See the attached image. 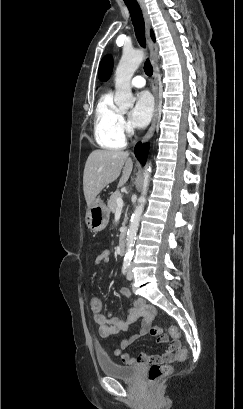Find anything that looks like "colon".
<instances>
[{
  "label": "colon",
  "instance_id": "1",
  "mask_svg": "<svg viewBox=\"0 0 243 409\" xmlns=\"http://www.w3.org/2000/svg\"><path fill=\"white\" fill-rule=\"evenodd\" d=\"M91 310L93 313H98L101 311L102 303L99 298H93L90 302ZM168 333L171 338L177 339L179 337L178 331L176 327L170 326L168 327ZM150 333L153 337L157 338L158 340H162L164 338L163 331L160 327L153 326L150 329ZM187 356V350L185 347H180L178 350V360L183 361ZM172 371L170 365L167 364H158L153 363L148 371L147 379L150 383H156L162 378L168 376Z\"/></svg>",
  "mask_w": 243,
  "mask_h": 409
}]
</instances>
